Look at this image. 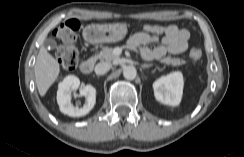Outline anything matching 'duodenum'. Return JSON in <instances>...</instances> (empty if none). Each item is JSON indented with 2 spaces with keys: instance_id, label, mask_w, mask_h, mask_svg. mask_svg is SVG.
Masks as SVG:
<instances>
[{
  "instance_id": "duodenum-1",
  "label": "duodenum",
  "mask_w": 244,
  "mask_h": 157,
  "mask_svg": "<svg viewBox=\"0 0 244 157\" xmlns=\"http://www.w3.org/2000/svg\"><path fill=\"white\" fill-rule=\"evenodd\" d=\"M94 64L95 59L93 57L84 60L80 65L81 72L84 74H89L93 70Z\"/></svg>"
}]
</instances>
